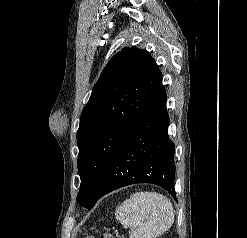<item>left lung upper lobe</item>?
<instances>
[{"mask_svg": "<svg viewBox=\"0 0 247 238\" xmlns=\"http://www.w3.org/2000/svg\"><path fill=\"white\" fill-rule=\"evenodd\" d=\"M162 83L155 60L125 47L108 62L85 105L77 132L78 203L91 209L114 156L146 113Z\"/></svg>", "mask_w": 247, "mask_h": 238, "instance_id": "5c2ea615", "label": "left lung upper lobe"}]
</instances>
